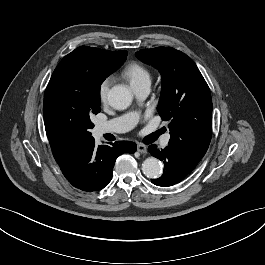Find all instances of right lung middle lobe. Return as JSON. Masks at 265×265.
I'll return each mask as SVG.
<instances>
[{"instance_id": "dd1d6c3e", "label": "right lung middle lobe", "mask_w": 265, "mask_h": 265, "mask_svg": "<svg viewBox=\"0 0 265 265\" xmlns=\"http://www.w3.org/2000/svg\"><path fill=\"white\" fill-rule=\"evenodd\" d=\"M127 51L110 53L81 46L56 67L45 90L43 115L52 146L66 149L91 137L90 116L100 112V86L126 60Z\"/></svg>"}]
</instances>
